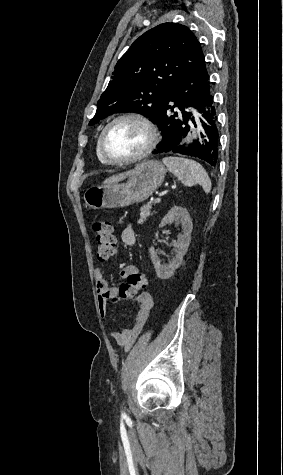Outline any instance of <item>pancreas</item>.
I'll return each mask as SVG.
<instances>
[{
    "label": "pancreas",
    "mask_w": 283,
    "mask_h": 475,
    "mask_svg": "<svg viewBox=\"0 0 283 475\" xmlns=\"http://www.w3.org/2000/svg\"><path fill=\"white\" fill-rule=\"evenodd\" d=\"M151 208H152V204H147V206H143V208H140V218L138 220V224H143L146 218L150 216Z\"/></svg>",
    "instance_id": "cf45deb5"
}]
</instances>
